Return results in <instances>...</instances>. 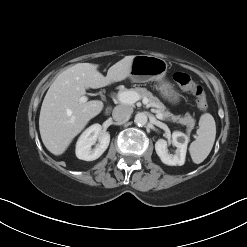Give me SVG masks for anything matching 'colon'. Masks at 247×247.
Instances as JSON below:
<instances>
[{
    "instance_id": "1",
    "label": "colon",
    "mask_w": 247,
    "mask_h": 247,
    "mask_svg": "<svg viewBox=\"0 0 247 247\" xmlns=\"http://www.w3.org/2000/svg\"><path fill=\"white\" fill-rule=\"evenodd\" d=\"M173 79L180 89L189 91L195 95L197 107L201 111L207 109L208 104L204 90L200 85L196 84L188 74L184 72H176L173 75Z\"/></svg>"
}]
</instances>
